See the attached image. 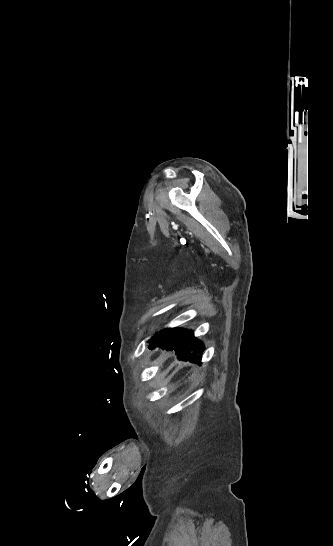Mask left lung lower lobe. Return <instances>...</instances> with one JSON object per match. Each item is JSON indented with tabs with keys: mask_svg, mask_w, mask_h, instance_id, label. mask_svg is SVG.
<instances>
[{
	"mask_svg": "<svg viewBox=\"0 0 333 546\" xmlns=\"http://www.w3.org/2000/svg\"><path fill=\"white\" fill-rule=\"evenodd\" d=\"M149 348L161 347L167 351L175 350L178 358L201 364L204 344L194 337L191 330L174 327L157 332L149 341Z\"/></svg>",
	"mask_w": 333,
	"mask_h": 546,
	"instance_id": "1",
	"label": "left lung lower lobe"
}]
</instances>
